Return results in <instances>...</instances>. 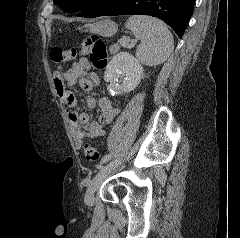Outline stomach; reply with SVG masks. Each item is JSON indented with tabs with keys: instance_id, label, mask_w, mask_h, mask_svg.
I'll return each instance as SVG.
<instances>
[{
	"instance_id": "obj_1",
	"label": "stomach",
	"mask_w": 240,
	"mask_h": 238,
	"mask_svg": "<svg viewBox=\"0 0 240 238\" xmlns=\"http://www.w3.org/2000/svg\"><path fill=\"white\" fill-rule=\"evenodd\" d=\"M87 28V31L104 37H110L114 35L118 29L116 23L108 19L100 20L96 23L87 25Z\"/></svg>"
}]
</instances>
